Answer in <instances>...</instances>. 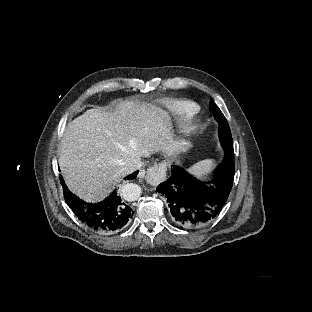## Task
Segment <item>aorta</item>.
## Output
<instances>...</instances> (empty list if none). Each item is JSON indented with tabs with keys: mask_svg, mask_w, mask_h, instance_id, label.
I'll use <instances>...</instances> for the list:
<instances>
[{
	"mask_svg": "<svg viewBox=\"0 0 312 312\" xmlns=\"http://www.w3.org/2000/svg\"><path fill=\"white\" fill-rule=\"evenodd\" d=\"M142 193V189L139 185L134 183H128L124 186V194L126 200L135 201L137 200Z\"/></svg>",
	"mask_w": 312,
	"mask_h": 312,
	"instance_id": "762f6f07",
	"label": "aorta"
}]
</instances>
